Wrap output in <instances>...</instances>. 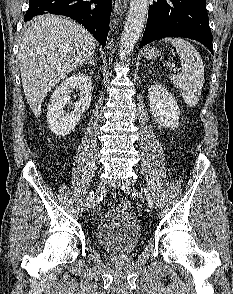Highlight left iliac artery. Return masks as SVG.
<instances>
[{"label": "left iliac artery", "mask_w": 233, "mask_h": 294, "mask_svg": "<svg viewBox=\"0 0 233 294\" xmlns=\"http://www.w3.org/2000/svg\"><path fill=\"white\" fill-rule=\"evenodd\" d=\"M141 191L145 193L146 197H147V203H148V206L149 207H152L153 206V200L150 196V193L148 191L147 188H141Z\"/></svg>", "instance_id": "left-iliac-artery-1"}]
</instances>
